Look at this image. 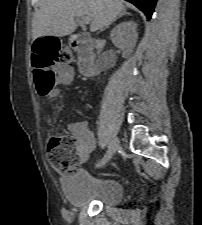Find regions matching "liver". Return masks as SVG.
<instances>
[{
	"mask_svg": "<svg viewBox=\"0 0 202 225\" xmlns=\"http://www.w3.org/2000/svg\"><path fill=\"white\" fill-rule=\"evenodd\" d=\"M126 13L121 0H46L33 19L32 37L66 36L76 30V17H91L96 32Z\"/></svg>",
	"mask_w": 202,
	"mask_h": 225,
	"instance_id": "1",
	"label": "liver"
}]
</instances>
